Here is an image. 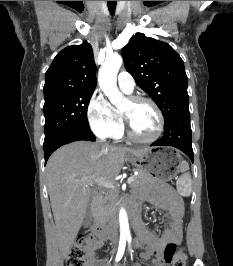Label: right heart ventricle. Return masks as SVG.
I'll use <instances>...</instances> for the list:
<instances>
[{
	"label": "right heart ventricle",
	"instance_id": "obj_1",
	"mask_svg": "<svg viewBox=\"0 0 233 266\" xmlns=\"http://www.w3.org/2000/svg\"><path fill=\"white\" fill-rule=\"evenodd\" d=\"M118 113H119L120 116H121V113H120L119 111H118ZM122 136H123V130L121 131V133H120L118 136L115 137V139H121Z\"/></svg>",
	"mask_w": 233,
	"mask_h": 266
}]
</instances>
